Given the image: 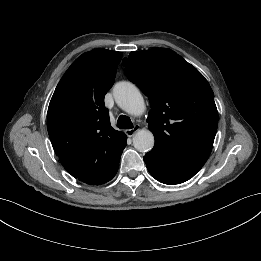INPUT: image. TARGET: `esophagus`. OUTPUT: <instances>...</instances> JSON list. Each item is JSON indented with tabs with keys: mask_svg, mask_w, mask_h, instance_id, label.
<instances>
[{
	"mask_svg": "<svg viewBox=\"0 0 261 261\" xmlns=\"http://www.w3.org/2000/svg\"><path fill=\"white\" fill-rule=\"evenodd\" d=\"M139 130H140V125L136 124L132 129H127L125 133L127 136L132 137Z\"/></svg>",
	"mask_w": 261,
	"mask_h": 261,
	"instance_id": "34e87169",
	"label": "esophagus"
}]
</instances>
